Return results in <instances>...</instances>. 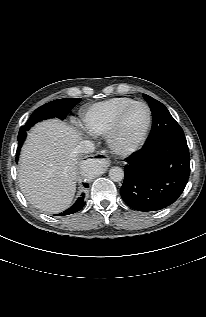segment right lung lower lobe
<instances>
[{"label": "right lung lower lobe", "instance_id": "obj_1", "mask_svg": "<svg viewBox=\"0 0 206 317\" xmlns=\"http://www.w3.org/2000/svg\"><path fill=\"white\" fill-rule=\"evenodd\" d=\"M19 152H20V147H18V149H17V153H19ZM16 161H17V159H16ZM84 186L88 187V184H84ZM84 195L85 194L82 193L81 196L78 198V200L75 202V204L72 207H70L68 210L64 211L63 213L58 214V216L59 215L73 214V213H76L79 210H81L84 207L85 203H86L84 201V197H85Z\"/></svg>", "mask_w": 206, "mask_h": 317}]
</instances>
